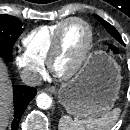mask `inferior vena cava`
<instances>
[{
  "label": "inferior vena cava",
  "mask_w": 130,
  "mask_h": 130,
  "mask_svg": "<svg viewBox=\"0 0 130 130\" xmlns=\"http://www.w3.org/2000/svg\"><path fill=\"white\" fill-rule=\"evenodd\" d=\"M21 79L28 86H38L42 82L41 76L30 69H24L21 72Z\"/></svg>",
  "instance_id": "inferior-vena-cava-1"
}]
</instances>
